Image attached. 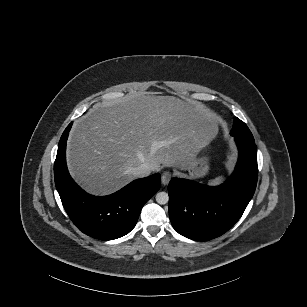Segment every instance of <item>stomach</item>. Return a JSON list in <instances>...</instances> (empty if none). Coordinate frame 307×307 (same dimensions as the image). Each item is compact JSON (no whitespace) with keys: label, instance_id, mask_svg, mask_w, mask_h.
I'll return each instance as SVG.
<instances>
[{"label":"stomach","instance_id":"stomach-1","mask_svg":"<svg viewBox=\"0 0 307 307\" xmlns=\"http://www.w3.org/2000/svg\"><path fill=\"white\" fill-rule=\"evenodd\" d=\"M211 148L210 142H201L194 154L192 161L188 165L189 176L192 179H202L211 171V164L208 160Z\"/></svg>","mask_w":307,"mask_h":307}]
</instances>
